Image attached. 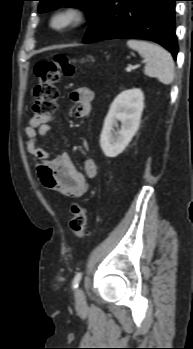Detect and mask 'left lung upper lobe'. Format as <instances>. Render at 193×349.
<instances>
[{
  "label": "left lung upper lobe",
  "instance_id": "5c2ea615",
  "mask_svg": "<svg viewBox=\"0 0 193 349\" xmlns=\"http://www.w3.org/2000/svg\"><path fill=\"white\" fill-rule=\"evenodd\" d=\"M39 12L49 11L61 6H75L86 10L95 20L106 0H38Z\"/></svg>",
  "mask_w": 193,
  "mask_h": 349
}]
</instances>
